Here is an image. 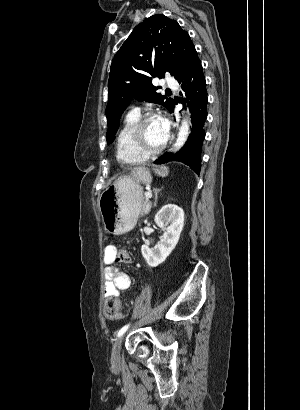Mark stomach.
<instances>
[{
    "mask_svg": "<svg viewBox=\"0 0 300 410\" xmlns=\"http://www.w3.org/2000/svg\"><path fill=\"white\" fill-rule=\"evenodd\" d=\"M154 171L159 176L168 174V168L164 166L156 167ZM151 181L148 169L137 168L129 176L117 179L100 195L98 205L107 233L120 235L134 228L143 200L140 183Z\"/></svg>",
    "mask_w": 300,
    "mask_h": 410,
    "instance_id": "1",
    "label": "stomach"
}]
</instances>
